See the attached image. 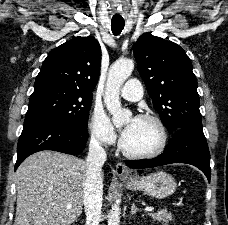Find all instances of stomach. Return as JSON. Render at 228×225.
<instances>
[{
  "label": "stomach",
  "instance_id": "1",
  "mask_svg": "<svg viewBox=\"0 0 228 225\" xmlns=\"http://www.w3.org/2000/svg\"><path fill=\"white\" fill-rule=\"evenodd\" d=\"M120 179L130 191H143L145 195L155 197V199H165V197L173 195L177 187L175 179L168 173H164V171L151 173L146 177L133 175V179H126V177H120Z\"/></svg>",
  "mask_w": 228,
  "mask_h": 225
}]
</instances>
